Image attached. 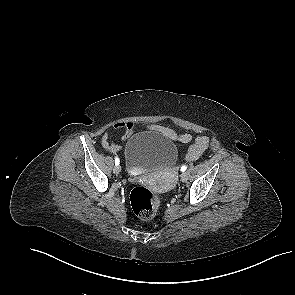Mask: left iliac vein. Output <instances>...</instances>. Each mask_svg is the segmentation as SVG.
Returning a JSON list of instances; mask_svg holds the SVG:
<instances>
[{
  "label": "left iliac vein",
  "mask_w": 295,
  "mask_h": 295,
  "mask_svg": "<svg viewBox=\"0 0 295 295\" xmlns=\"http://www.w3.org/2000/svg\"><path fill=\"white\" fill-rule=\"evenodd\" d=\"M187 179H188V175H187V173H186V172H183V173L181 174V181H182V182H186Z\"/></svg>",
  "instance_id": "left-iliac-vein-1"
}]
</instances>
